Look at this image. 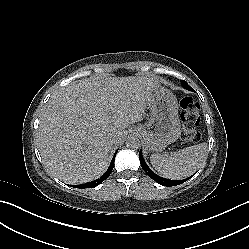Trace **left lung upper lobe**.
Returning a JSON list of instances; mask_svg holds the SVG:
<instances>
[{"instance_id": "obj_1", "label": "left lung upper lobe", "mask_w": 249, "mask_h": 249, "mask_svg": "<svg viewBox=\"0 0 249 249\" xmlns=\"http://www.w3.org/2000/svg\"><path fill=\"white\" fill-rule=\"evenodd\" d=\"M182 86L187 90H192V88L188 85L186 81L181 80Z\"/></svg>"}]
</instances>
